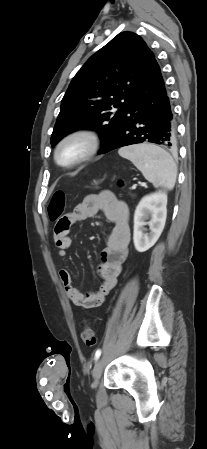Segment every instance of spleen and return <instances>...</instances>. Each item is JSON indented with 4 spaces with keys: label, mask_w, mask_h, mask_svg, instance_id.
Instances as JSON below:
<instances>
[{
    "label": "spleen",
    "mask_w": 207,
    "mask_h": 449,
    "mask_svg": "<svg viewBox=\"0 0 207 449\" xmlns=\"http://www.w3.org/2000/svg\"><path fill=\"white\" fill-rule=\"evenodd\" d=\"M118 153L130 160L154 187H163L167 190L174 188L177 166L171 155L161 147L143 143L123 147Z\"/></svg>",
    "instance_id": "obj_1"
}]
</instances>
